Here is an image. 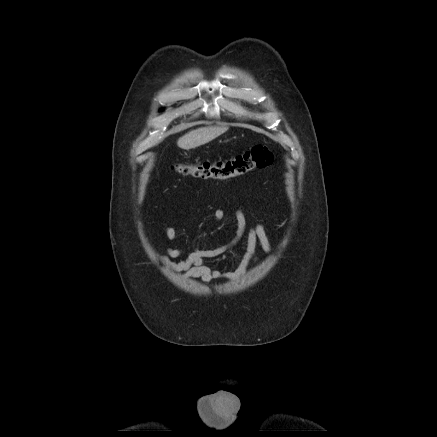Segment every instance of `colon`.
<instances>
[{
  "label": "colon",
  "mask_w": 437,
  "mask_h": 437,
  "mask_svg": "<svg viewBox=\"0 0 437 437\" xmlns=\"http://www.w3.org/2000/svg\"><path fill=\"white\" fill-rule=\"evenodd\" d=\"M273 159V153L268 147L256 145L229 160L179 163L174 169L182 175L224 181L265 168L272 164Z\"/></svg>",
  "instance_id": "5ec220e1"
}]
</instances>
